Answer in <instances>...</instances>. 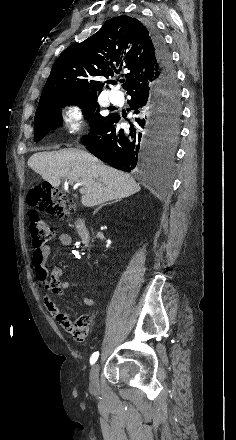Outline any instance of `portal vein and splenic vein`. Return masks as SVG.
I'll return each mask as SVG.
<instances>
[{"label":"portal vein and splenic vein","mask_w":236,"mask_h":440,"mask_svg":"<svg viewBox=\"0 0 236 440\" xmlns=\"http://www.w3.org/2000/svg\"><path fill=\"white\" fill-rule=\"evenodd\" d=\"M70 184H73V182H70ZM80 184H75V187H78ZM81 193H83L82 189L80 190Z\"/></svg>","instance_id":"obj_1"}]
</instances>
